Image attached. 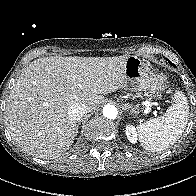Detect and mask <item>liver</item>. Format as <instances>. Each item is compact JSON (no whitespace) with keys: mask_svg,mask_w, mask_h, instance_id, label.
<instances>
[{"mask_svg":"<svg viewBox=\"0 0 196 196\" xmlns=\"http://www.w3.org/2000/svg\"><path fill=\"white\" fill-rule=\"evenodd\" d=\"M127 57H43L24 68L6 101L4 118L24 152L41 158L68 150L78 133L68 108L91 111L126 86Z\"/></svg>","mask_w":196,"mask_h":196,"instance_id":"obj_1","label":"liver"}]
</instances>
